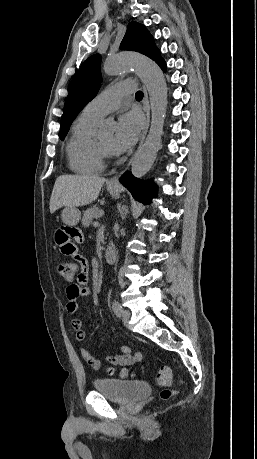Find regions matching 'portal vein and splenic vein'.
I'll list each match as a JSON object with an SVG mask.
<instances>
[{"label":"portal vein and splenic vein","instance_id":"18ae733b","mask_svg":"<svg viewBox=\"0 0 257 459\" xmlns=\"http://www.w3.org/2000/svg\"><path fill=\"white\" fill-rule=\"evenodd\" d=\"M103 214H104V212H103V211H100L98 217H99V216H102ZM94 224H97V222H95Z\"/></svg>","mask_w":257,"mask_h":459}]
</instances>
